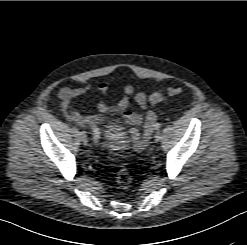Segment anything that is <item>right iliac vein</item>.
I'll return each mask as SVG.
<instances>
[{
	"mask_svg": "<svg viewBox=\"0 0 247 245\" xmlns=\"http://www.w3.org/2000/svg\"><path fill=\"white\" fill-rule=\"evenodd\" d=\"M80 137H81L82 142H83L84 144H87V142H88V137H87L86 133L82 131V132L80 133Z\"/></svg>",
	"mask_w": 247,
	"mask_h": 245,
	"instance_id": "right-iliac-vein-1",
	"label": "right iliac vein"
}]
</instances>
